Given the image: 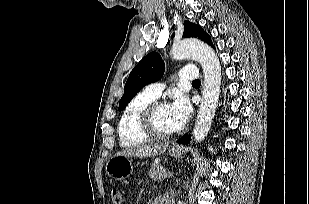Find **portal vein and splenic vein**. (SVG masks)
<instances>
[{"label": "portal vein and splenic vein", "instance_id": "18ae733b", "mask_svg": "<svg viewBox=\"0 0 309 204\" xmlns=\"http://www.w3.org/2000/svg\"><path fill=\"white\" fill-rule=\"evenodd\" d=\"M173 175V172H167V176L170 177Z\"/></svg>", "mask_w": 309, "mask_h": 204}]
</instances>
